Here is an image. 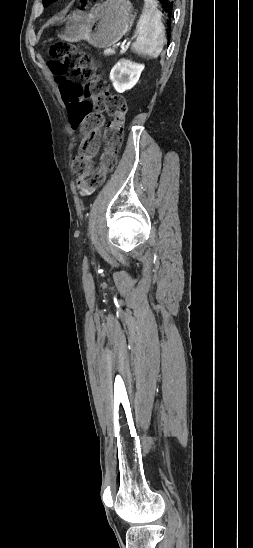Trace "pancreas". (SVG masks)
<instances>
[{
    "mask_svg": "<svg viewBox=\"0 0 253 548\" xmlns=\"http://www.w3.org/2000/svg\"><path fill=\"white\" fill-rule=\"evenodd\" d=\"M113 54H115V51H114V50H107V51L105 52V55H113Z\"/></svg>",
    "mask_w": 253,
    "mask_h": 548,
    "instance_id": "cf45deb5",
    "label": "pancreas"
}]
</instances>
